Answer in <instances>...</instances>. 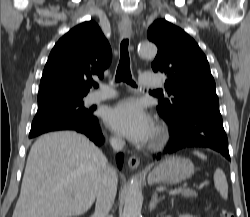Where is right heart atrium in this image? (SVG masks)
Returning <instances> with one entry per match:
<instances>
[{
    "label": "right heart atrium",
    "instance_id": "d8ad5b80",
    "mask_svg": "<svg viewBox=\"0 0 250 217\" xmlns=\"http://www.w3.org/2000/svg\"><path fill=\"white\" fill-rule=\"evenodd\" d=\"M112 142L115 143V144H120L121 139L118 136H113L112 137Z\"/></svg>",
    "mask_w": 250,
    "mask_h": 217
}]
</instances>
